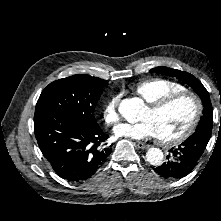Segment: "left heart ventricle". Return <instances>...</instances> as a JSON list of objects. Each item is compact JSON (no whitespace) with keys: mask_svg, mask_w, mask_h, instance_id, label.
<instances>
[{"mask_svg":"<svg viewBox=\"0 0 221 221\" xmlns=\"http://www.w3.org/2000/svg\"><path fill=\"white\" fill-rule=\"evenodd\" d=\"M193 113V102L188 98H182L158 112H152L146 108L141 119L152 121L160 138H170L187 127Z\"/></svg>","mask_w":221,"mask_h":221,"instance_id":"left-heart-ventricle-1","label":"left heart ventricle"}]
</instances>
